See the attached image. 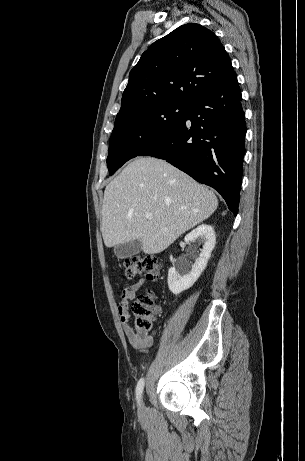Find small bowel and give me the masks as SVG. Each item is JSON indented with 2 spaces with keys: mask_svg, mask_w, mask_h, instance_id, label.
<instances>
[{
  "mask_svg": "<svg viewBox=\"0 0 305 461\" xmlns=\"http://www.w3.org/2000/svg\"><path fill=\"white\" fill-rule=\"evenodd\" d=\"M146 284L145 280H139L127 287L120 293V302L118 305V312L121 317V322L129 343L135 350L144 351L152 346L154 341V333L147 335L143 333H136L129 322V305L134 300L137 291ZM161 312L159 306L154 308L155 317Z\"/></svg>",
  "mask_w": 305,
  "mask_h": 461,
  "instance_id": "c3829d8e",
  "label": "small bowel"
}]
</instances>
